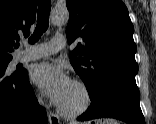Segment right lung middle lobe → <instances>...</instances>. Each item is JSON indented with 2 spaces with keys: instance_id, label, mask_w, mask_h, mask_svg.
I'll return each instance as SVG.
<instances>
[{
  "instance_id": "1",
  "label": "right lung middle lobe",
  "mask_w": 156,
  "mask_h": 124,
  "mask_svg": "<svg viewBox=\"0 0 156 124\" xmlns=\"http://www.w3.org/2000/svg\"><path fill=\"white\" fill-rule=\"evenodd\" d=\"M10 60H11V59H1V60H0V65H5V66H7L8 63L10 62ZM24 72H25V71L22 70V71L14 72L13 74H14V75H19V74H22V73H24Z\"/></svg>"
}]
</instances>
